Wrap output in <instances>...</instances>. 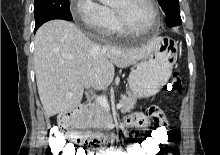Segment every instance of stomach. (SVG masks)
Segmentation results:
<instances>
[{
	"instance_id": "0dacf381",
	"label": "stomach",
	"mask_w": 220,
	"mask_h": 155,
	"mask_svg": "<svg viewBox=\"0 0 220 155\" xmlns=\"http://www.w3.org/2000/svg\"><path fill=\"white\" fill-rule=\"evenodd\" d=\"M177 44L170 38H158L150 56L139 62L131 71L128 83L135 98L156 95L168 82L176 56Z\"/></svg>"
}]
</instances>
